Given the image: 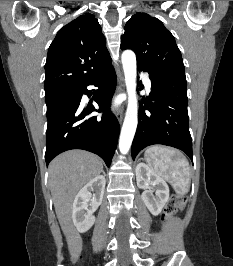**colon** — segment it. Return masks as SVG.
Segmentation results:
<instances>
[{"label": "colon", "mask_w": 233, "mask_h": 266, "mask_svg": "<svg viewBox=\"0 0 233 266\" xmlns=\"http://www.w3.org/2000/svg\"><path fill=\"white\" fill-rule=\"evenodd\" d=\"M186 198L179 194H172L167 202V205L165 207V217L169 218L173 214H175L177 211L184 208L186 204Z\"/></svg>", "instance_id": "obj_1"}]
</instances>
